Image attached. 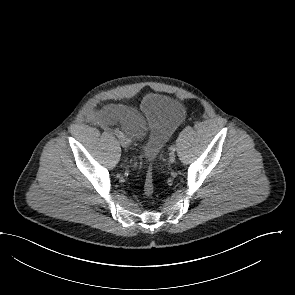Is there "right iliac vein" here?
<instances>
[{
	"instance_id": "63e3f726",
	"label": "right iliac vein",
	"mask_w": 295,
	"mask_h": 295,
	"mask_svg": "<svg viewBox=\"0 0 295 295\" xmlns=\"http://www.w3.org/2000/svg\"><path fill=\"white\" fill-rule=\"evenodd\" d=\"M120 143H121L123 148H128L130 146V144H131V141L127 137H122L120 139Z\"/></svg>"
}]
</instances>
